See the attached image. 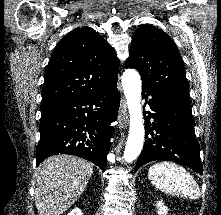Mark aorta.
<instances>
[{
	"label": "aorta",
	"instance_id": "obj_1",
	"mask_svg": "<svg viewBox=\"0 0 221 215\" xmlns=\"http://www.w3.org/2000/svg\"><path fill=\"white\" fill-rule=\"evenodd\" d=\"M122 86L127 101L130 127L124 150V159L130 163L141 153L144 144V122L141 108V79L135 69H127L122 75Z\"/></svg>",
	"mask_w": 221,
	"mask_h": 215
}]
</instances>
